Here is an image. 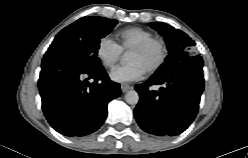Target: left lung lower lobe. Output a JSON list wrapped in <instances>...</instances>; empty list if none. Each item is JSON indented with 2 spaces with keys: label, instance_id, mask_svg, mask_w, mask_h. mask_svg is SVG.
I'll return each instance as SVG.
<instances>
[{
  "label": "left lung lower lobe",
  "instance_id": "1",
  "mask_svg": "<svg viewBox=\"0 0 248 158\" xmlns=\"http://www.w3.org/2000/svg\"><path fill=\"white\" fill-rule=\"evenodd\" d=\"M203 61L200 56L180 61L162 75H153L143 84L136 85L140 101L134 109L139 126L158 136L182 133L194 120L204 79ZM152 85H163L158 91Z\"/></svg>",
  "mask_w": 248,
  "mask_h": 158
}]
</instances>
